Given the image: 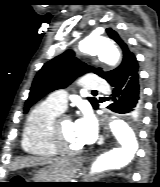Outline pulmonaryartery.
<instances>
[{
    "label": "pulmonary artery",
    "instance_id": "e3ab8cb5",
    "mask_svg": "<svg viewBox=\"0 0 160 187\" xmlns=\"http://www.w3.org/2000/svg\"><path fill=\"white\" fill-rule=\"evenodd\" d=\"M81 85L87 91H105L108 89V84L96 75L85 76L81 80ZM67 96L66 90H57L49 95L47 101L63 111L66 108Z\"/></svg>",
    "mask_w": 160,
    "mask_h": 187
}]
</instances>
